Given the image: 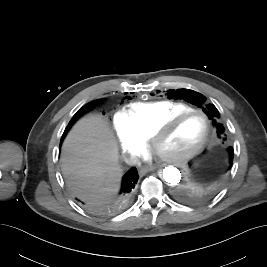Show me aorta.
<instances>
[{"label": "aorta", "instance_id": "aorta-1", "mask_svg": "<svg viewBox=\"0 0 267 267\" xmlns=\"http://www.w3.org/2000/svg\"><path fill=\"white\" fill-rule=\"evenodd\" d=\"M159 176L171 186H176L182 178L181 171L174 166H167L159 172Z\"/></svg>", "mask_w": 267, "mask_h": 267}]
</instances>
